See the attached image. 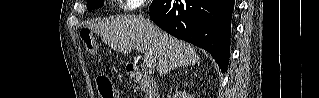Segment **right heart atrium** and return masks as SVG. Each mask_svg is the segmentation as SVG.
Here are the masks:
<instances>
[{
    "label": "right heart atrium",
    "instance_id": "1",
    "mask_svg": "<svg viewBox=\"0 0 319 98\" xmlns=\"http://www.w3.org/2000/svg\"><path fill=\"white\" fill-rule=\"evenodd\" d=\"M124 3L126 4V7L127 9L129 10H132V9H135V8H138L142 5L145 4V1L143 0H127V1H124Z\"/></svg>",
    "mask_w": 319,
    "mask_h": 98
}]
</instances>
